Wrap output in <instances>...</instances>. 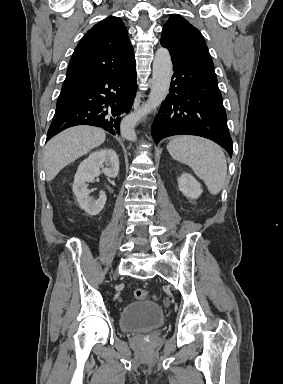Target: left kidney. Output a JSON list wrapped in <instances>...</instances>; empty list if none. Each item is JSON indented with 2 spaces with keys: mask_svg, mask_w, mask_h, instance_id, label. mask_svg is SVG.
<instances>
[{
  "mask_svg": "<svg viewBox=\"0 0 283 384\" xmlns=\"http://www.w3.org/2000/svg\"><path fill=\"white\" fill-rule=\"evenodd\" d=\"M178 186L180 192H183L187 198L196 200L202 194L201 184L191 174H181L180 178H178Z\"/></svg>",
  "mask_w": 283,
  "mask_h": 384,
  "instance_id": "obj_1",
  "label": "left kidney"
}]
</instances>
